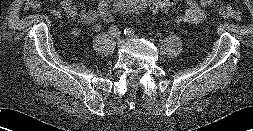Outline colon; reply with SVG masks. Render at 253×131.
Listing matches in <instances>:
<instances>
[{
	"mask_svg": "<svg viewBox=\"0 0 253 131\" xmlns=\"http://www.w3.org/2000/svg\"><path fill=\"white\" fill-rule=\"evenodd\" d=\"M178 6L177 0H153L151 3V8L156 12H165L174 9ZM218 12L225 18H229L235 21L243 20V13L231 6L221 7ZM100 20L107 26L114 23V14L110 11H104L101 14Z\"/></svg>",
	"mask_w": 253,
	"mask_h": 131,
	"instance_id": "5ec220e1",
	"label": "colon"
}]
</instances>
